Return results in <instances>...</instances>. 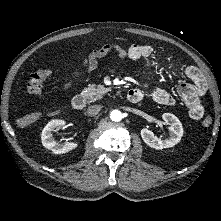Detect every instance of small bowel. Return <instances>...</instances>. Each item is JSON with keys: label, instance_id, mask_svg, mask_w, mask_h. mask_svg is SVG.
I'll return each instance as SVG.
<instances>
[{"label": "small bowel", "instance_id": "small-bowel-1", "mask_svg": "<svg viewBox=\"0 0 221 221\" xmlns=\"http://www.w3.org/2000/svg\"><path fill=\"white\" fill-rule=\"evenodd\" d=\"M111 53L117 54L121 60L131 59H150L155 53V49L149 45H131L127 48L117 44H106L100 49L90 52L82 58L84 71L90 73L98 66V60ZM148 65L150 63L148 62ZM79 72L72 71L71 76L75 79L79 76ZM185 75L190 82L182 83L177 89L178 96L188 110L190 118L200 120L204 116V106L201 97L207 91V82L202 73L194 66H188L185 69ZM73 81L66 83V88H70ZM138 93L140 100L144 96V91L141 89H132ZM150 97L157 103L167 106L175 104V99L172 95L162 89H153L149 93Z\"/></svg>", "mask_w": 221, "mask_h": 221}]
</instances>
